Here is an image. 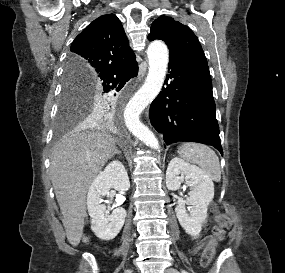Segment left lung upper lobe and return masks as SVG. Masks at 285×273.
Segmentation results:
<instances>
[{
  "mask_svg": "<svg viewBox=\"0 0 285 273\" xmlns=\"http://www.w3.org/2000/svg\"><path fill=\"white\" fill-rule=\"evenodd\" d=\"M148 39L163 40L169 48L170 58L177 59L195 72L210 76L199 40L186 25L171 17L161 16L153 22Z\"/></svg>",
  "mask_w": 285,
  "mask_h": 273,
  "instance_id": "1",
  "label": "left lung upper lobe"
}]
</instances>
